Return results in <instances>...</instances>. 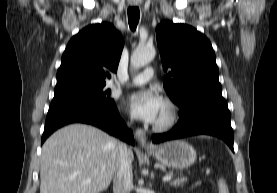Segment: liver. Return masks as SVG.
<instances>
[{
    "label": "liver",
    "mask_w": 277,
    "mask_h": 193,
    "mask_svg": "<svg viewBox=\"0 0 277 193\" xmlns=\"http://www.w3.org/2000/svg\"><path fill=\"white\" fill-rule=\"evenodd\" d=\"M119 144L90 125L72 124L56 131L42 147L40 193L106 190L116 170Z\"/></svg>",
    "instance_id": "6515ba94"
}]
</instances>
